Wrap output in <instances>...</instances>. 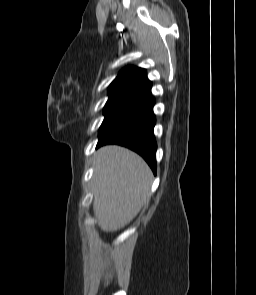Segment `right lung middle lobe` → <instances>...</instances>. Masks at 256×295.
I'll return each mask as SVG.
<instances>
[{
  "instance_id": "right-lung-middle-lobe-1",
  "label": "right lung middle lobe",
  "mask_w": 256,
  "mask_h": 295,
  "mask_svg": "<svg viewBox=\"0 0 256 295\" xmlns=\"http://www.w3.org/2000/svg\"><path fill=\"white\" fill-rule=\"evenodd\" d=\"M129 102L130 100H116L107 102L104 107L105 118L99 129V132L102 131L114 118H116Z\"/></svg>"
}]
</instances>
